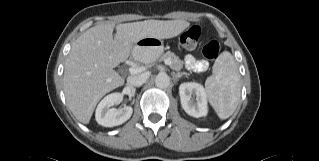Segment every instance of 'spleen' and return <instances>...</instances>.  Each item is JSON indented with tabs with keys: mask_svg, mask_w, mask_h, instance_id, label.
<instances>
[{
	"mask_svg": "<svg viewBox=\"0 0 319 161\" xmlns=\"http://www.w3.org/2000/svg\"><path fill=\"white\" fill-rule=\"evenodd\" d=\"M212 72L205 82L207 98L218 117L227 119L236 110L241 95L240 76L231 53L222 52Z\"/></svg>",
	"mask_w": 319,
	"mask_h": 161,
	"instance_id": "obj_1",
	"label": "spleen"
}]
</instances>
